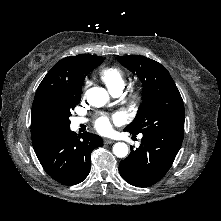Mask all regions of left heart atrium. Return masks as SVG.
I'll list each match as a JSON object with an SVG mask.
<instances>
[{
    "label": "left heart atrium",
    "instance_id": "obj_1",
    "mask_svg": "<svg viewBox=\"0 0 221 221\" xmlns=\"http://www.w3.org/2000/svg\"><path fill=\"white\" fill-rule=\"evenodd\" d=\"M120 120V116L118 114H114L109 116L107 114H100L95 119V128L101 133H109L112 128V121L118 122Z\"/></svg>",
    "mask_w": 221,
    "mask_h": 221
}]
</instances>
